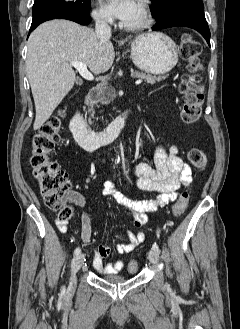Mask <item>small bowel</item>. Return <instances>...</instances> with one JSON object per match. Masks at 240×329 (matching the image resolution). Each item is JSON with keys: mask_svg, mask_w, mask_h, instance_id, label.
Returning <instances> with one entry per match:
<instances>
[{"mask_svg": "<svg viewBox=\"0 0 240 329\" xmlns=\"http://www.w3.org/2000/svg\"><path fill=\"white\" fill-rule=\"evenodd\" d=\"M136 177V186L147 192L156 194L154 200H132L114 190V184L108 181L105 184L104 195L113 198L122 208L129 211L133 216L134 226L141 228L148 221V214L158 207H163L174 202L178 197V191L183 185L191 182V169L184 159L178 155L176 148L166 150L159 146L155 149L154 165L138 163L132 168ZM79 204L82 201L77 200ZM81 238L84 243H90L92 238L91 219L87 213L81 218ZM56 226L61 233H66L68 224L65 221L57 220ZM129 242L117 244L115 250L120 254L130 253L145 240L142 231L132 232L128 230ZM111 249L100 245L93 253V268L100 274H116L124 266L122 260L104 264L103 259L108 257Z\"/></svg>", "mask_w": 240, "mask_h": 329, "instance_id": "1", "label": "small bowel"}]
</instances>
